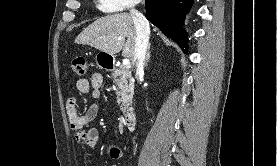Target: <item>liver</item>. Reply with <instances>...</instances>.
Returning a JSON list of instances; mask_svg holds the SVG:
<instances>
[{
  "mask_svg": "<svg viewBox=\"0 0 277 166\" xmlns=\"http://www.w3.org/2000/svg\"><path fill=\"white\" fill-rule=\"evenodd\" d=\"M136 28L128 13H117L101 17L85 28L75 43L89 45L102 52L122 55L135 64Z\"/></svg>",
  "mask_w": 277,
  "mask_h": 166,
  "instance_id": "1",
  "label": "liver"
}]
</instances>
